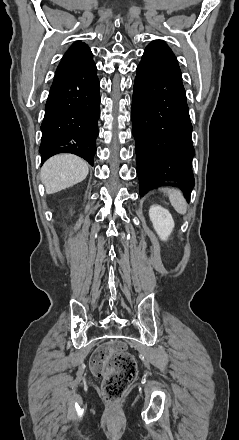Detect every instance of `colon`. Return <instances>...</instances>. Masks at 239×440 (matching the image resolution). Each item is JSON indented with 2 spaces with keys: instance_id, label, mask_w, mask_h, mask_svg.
Masks as SVG:
<instances>
[{
  "instance_id": "obj_1",
  "label": "colon",
  "mask_w": 239,
  "mask_h": 440,
  "mask_svg": "<svg viewBox=\"0 0 239 440\" xmlns=\"http://www.w3.org/2000/svg\"><path fill=\"white\" fill-rule=\"evenodd\" d=\"M91 369L102 377L104 395L113 402L120 399L134 381L137 363L122 343L111 342L94 352Z\"/></svg>"
}]
</instances>
